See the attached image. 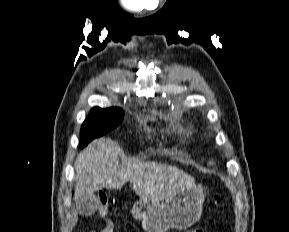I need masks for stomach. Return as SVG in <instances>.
Returning a JSON list of instances; mask_svg holds the SVG:
<instances>
[{
    "label": "stomach",
    "mask_w": 289,
    "mask_h": 232,
    "mask_svg": "<svg viewBox=\"0 0 289 232\" xmlns=\"http://www.w3.org/2000/svg\"><path fill=\"white\" fill-rule=\"evenodd\" d=\"M204 199L203 187L194 185L159 203L140 198L133 205L132 215L146 232L184 230L200 219Z\"/></svg>",
    "instance_id": "1"
}]
</instances>
